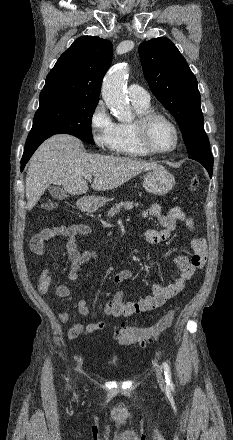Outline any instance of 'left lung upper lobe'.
Wrapping results in <instances>:
<instances>
[{
    "mask_svg": "<svg viewBox=\"0 0 233 440\" xmlns=\"http://www.w3.org/2000/svg\"><path fill=\"white\" fill-rule=\"evenodd\" d=\"M139 55L150 89L176 119L189 155L210 152L197 80L177 47L155 38L140 44Z\"/></svg>",
    "mask_w": 233,
    "mask_h": 440,
    "instance_id": "1",
    "label": "left lung upper lobe"
}]
</instances>
